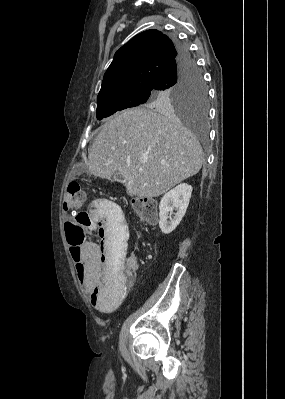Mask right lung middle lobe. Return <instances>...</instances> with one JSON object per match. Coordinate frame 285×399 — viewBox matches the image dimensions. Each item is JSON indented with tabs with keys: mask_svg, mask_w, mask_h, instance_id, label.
I'll list each match as a JSON object with an SVG mask.
<instances>
[{
	"mask_svg": "<svg viewBox=\"0 0 285 399\" xmlns=\"http://www.w3.org/2000/svg\"><path fill=\"white\" fill-rule=\"evenodd\" d=\"M143 105L156 110L178 112L202 125L207 119V89L198 67L193 65L179 80L161 90L132 89L98 98L96 117L101 120L117 111Z\"/></svg>",
	"mask_w": 285,
	"mask_h": 399,
	"instance_id": "dd1d6c3e",
	"label": "right lung middle lobe"
}]
</instances>
